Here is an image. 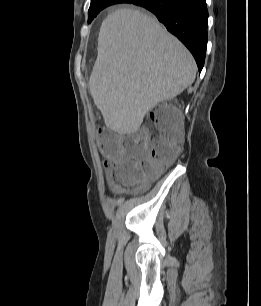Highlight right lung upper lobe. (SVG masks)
<instances>
[{
  "label": "right lung upper lobe",
  "mask_w": 261,
  "mask_h": 306,
  "mask_svg": "<svg viewBox=\"0 0 261 306\" xmlns=\"http://www.w3.org/2000/svg\"><path fill=\"white\" fill-rule=\"evenodd\" d=\"M100 1H107V0H91V3L100 2ZM120 1H124V3H126L128 0H120Z\"/></svg>",
  "instance_id": "right-lung-upper-lobe-1"
}]
</instances>
